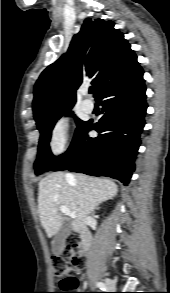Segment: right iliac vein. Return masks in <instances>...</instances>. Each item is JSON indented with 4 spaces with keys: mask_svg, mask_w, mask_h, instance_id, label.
Segmentation results:
<instances>
[{
    "mask_svg": "<svg viewBox=\"0 0 170 293\" xmlns=\"http://www.w3.org/2000/svg\"><path fill=\"white\" fill-rule=\"evenodd\" d=\"M105 283H106V285H107V289L108 290H115L116 289V285H115V283L112 281V280H110V279H105Z\"/></svg>",
    "mask_w": 170,
    "mask_h": 293,
    "instance_id": "right-iliac-vein-1",
    "label": "right iliac vein"
}]
</instances>
